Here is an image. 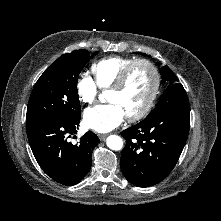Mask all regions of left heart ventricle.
<instances>
[{"instance_id":"left-heart-ventricle-1","label":"left heart ventricle","mask_w":221,"mask_h":221,"mask_svg":"<svg viewBox=\"0 0 221 221\" xmlns=\"http://www.w3.org/2000/svg\"><path fill=\"white\" fill-rule=\"evenodd\" d=\"M153 76L144 65L136 66L120 91H109L107 99L110 103L121 106L126 116L137 113L146 103L151 93Z\"/></svg>"}]
</instances>
